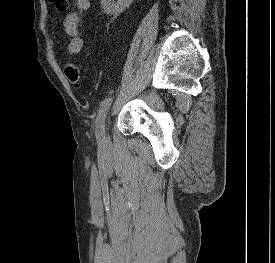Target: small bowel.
<instances>
[{
	"mask_svg": "<svg viewBox=\"0 0 275 263\" xmlns=\"http://www.w3.org/2000/svg\"><path fill=\"white\" fill-rule=\"evenodd\" d=\"M90 8V0H76V10L69 13L63 23L64 31L69 38L67 54L74 56L78 54L84 46V41L80 30L81 15Z\"/></svg>",
	"mask_w": 275,
	"mask_h": 263,
	"instance_id": "c3829d8e",
	"label": "small bowel"
}]
</instances>
